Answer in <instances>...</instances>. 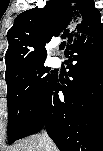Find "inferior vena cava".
<instances>
[{
  "instance_id": "obj_1",
  "label": "inferior vena cava",
  "mask_w": 103,
  "mask_h": 151,
  "mask_svg": "<svg viewBox=\"0 0 103 151\" xmlns=\"http://www.w3.org/2000/svg\"><path fill=\"white\" fill-rule=\"evenodd\" d=\"M42 140L44 143L43 145L44 151H50L49 148L53 145V142L51 141V139L49 138L46 132L42 134Z\"/></svg>"
}]
</instances>
